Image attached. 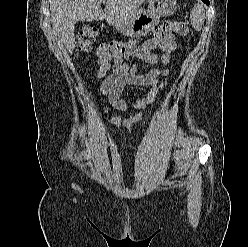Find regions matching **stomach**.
<instances>
[{"label":"stomach","mask_w":248,"mask_h":247,"mask_svg":"<svg viewBox=\"0 0 248 247\" xmlns=\"http://www.w3.org/2000/svg\"><path fill=\"white\" fill-rule=\"evenodd\" d=\"M147 2V10L141 9L128 21L112 27L126 36L142 37L158 24L160 17L170 16L177 9L176 0H147Z\"/></svg>","instance_id":"stomach-1"}]
</instances>
